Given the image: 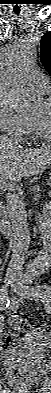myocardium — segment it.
<instances>
[{
	"instance_id": "myocardium-1",
	"label": "myocardium",
	"mask_w": 51,
	"mask_h": 393,
	"mask_svg": "<svg viewBox=\"0 0 51 393\" xmlns=\"http://www.w3.org/2000/svg\"><path fill=\"white\" fill-rule=\"evenodd\" d=\"M45 104L51 107V97L47 98L45 101ZM34 121L41 133V135L45 138H49L51 136V123L48 125L41 119L39 118H34Z\"/></svg>"
}]
</instances>
